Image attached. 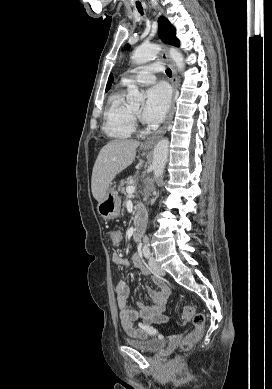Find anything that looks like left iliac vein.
I'll return each mask as SVG.
<instances>
[{
    "label": "left iliac vein",
    "mask_w": 272,
    "mask_h": 389,
    "mask_svg": "<svg viewBox=\"0 0 272 389\" xmlns=\"http://www.w3.org/2000/svg\"><path fill=\"white\" fill-rule=\"evenodd\" d=\"M149 266L155 273L159 275L165 274L164 270L159 266V264L157 263V261L153 256H150L149 258Z\"/></svg>",
    "instance_id": "1"
}]
</instances>
